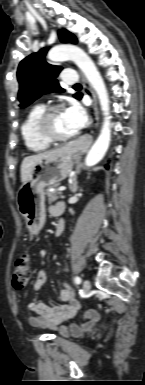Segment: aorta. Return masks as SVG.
Masks as SVG:
<instances>
[{
    "label": "aorta",
    "mask_w": 145,
    "mask_h": 385,
    "mask_svg": "<svg viewBox=\"0 0 145 385\" xmlns=\"http://www.w3.org/2000/svg\"><path fill=\"white\" fill-rule=\"evenodd\" d=\"M48 58L51 61H73L84 73L98 96L101 110L104 115V121L101 132L85 159L87 166H93L105 156L111 139V117L109 115L110 102L105 83L91 58L77 46L61 45L54 47L48 53Z\"/></svg>",
    "instance_id": "1"
}]
</instances>
